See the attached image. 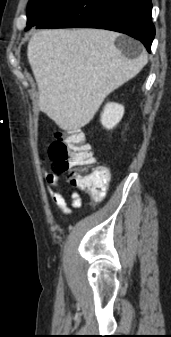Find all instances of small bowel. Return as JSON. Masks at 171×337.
Here are the masks:
<instances>
[{
	"mask_svg": "<svg viewBox=\"0 0 171 337\" xmlns=\"http://www.w3.org/2000/svg\"><path fill=\"white\" fill-rule=\"evenodd\" d=\"M40 164L51 201L61 209L64 215L69 216L71 214V209L68 207L67 201L63 195V188L61 186L59 175L48 172L44 159L40 160ZM69 192L71 195V207L74 209L80 208L82 205L81 195L75 190H69Z\"/></svg>",
	"mask_w": 171,
	"mask_h": 337,
	"instance_id": "obj_1",
	"label": "small bowel"
}]
</instances>
